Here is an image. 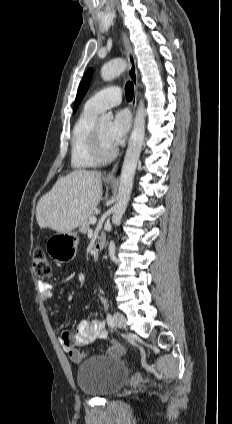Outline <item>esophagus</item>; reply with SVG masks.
<instances>
[{"instance_id":"esophagus-1","label":"esophagus","mask_w":232,"mask_h":424,"mask_svg":"<svg viewBox=\"0 0 232 424\" xmlns=\"http://www.w3.org/2000/svg\"><path fill=\"white\" fill-rule=\"evenodd\" d=\"M122 38L127 54V59L129 63V70H128V76L130 80L133 83L134 86V96L131 103L132 111L135 112L136 104H137V97H138V74H137V68H136V59L133 52V48L131 46V43L126 35L125 32L122 33ZM119 161H117L111 168V170L105 175L106 179H115V174L118 170Z\"/></svg>"}]
</instances>
